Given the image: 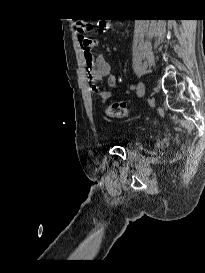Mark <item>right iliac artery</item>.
<instances>
[{
    "label": "right iliac artery",
    "mask_w": 205,
    "mask_h": 273,
    "mask_svg": "<svg viewBox=\"0 0 205 273\" xmlns=\"http://www.w3.org/2000/svg\"><path fill=\"white\" fill-rule=\"evenodd\" d=\"M130 89H131V90H134V89H135V86H134V85H132V86L130 87Z\"/></svg>",
    "instance_id": "right-iliac-artery-1"
}]
</instances>
